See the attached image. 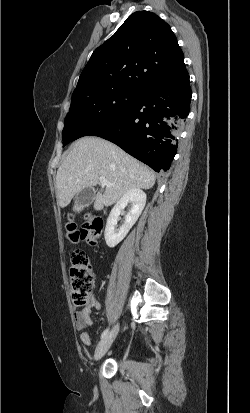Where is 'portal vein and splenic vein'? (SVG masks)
Returning a JSON list of instances; mask_svg holds the SVG:
<instances>
[{
    "label": "portal vein and splenic vein",
    "mask_w": 250,
    "mask_h": 413,
    "mask_svg": "<svg viewBox=\"0 0 250 413\" xmlns=\"http://www.w3.org/2000/svg\"><path fill=\"white\" fill-rule=\"evenodd\" d=\"M99 180L102 186H114V184L110 183L105 177H100Z\"/></svg>",
    "instance_id": "portal-vein-and-splenic-vein-1"
}]
</instances>
